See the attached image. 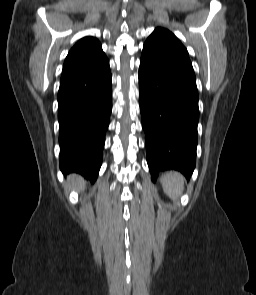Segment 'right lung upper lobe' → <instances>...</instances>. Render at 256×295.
I'll return each instance as SVG.
<instances>
[{"label": "right lung upper lobe", "mask_w": 256, "mask_h": 295, "mask_svg": "<svg viewBox=\"0 0 256 295\" xmlns=\"http://www.w3.org/2000/svg\"><path fill=\"white\" fill-rule=\"evenodd\" d=\"M106 59L100 42L94 37L80 39L68 53L62 73Z\"/></svg>", "instance_id": "1"}]
</instances>
